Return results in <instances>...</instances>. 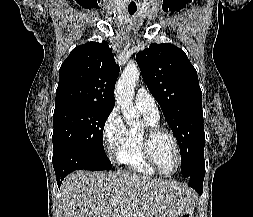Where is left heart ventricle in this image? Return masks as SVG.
Returning <instances> with one entry per match:
<instances>
[{
  "mask_svg": "<svg viewBox=\"0 0 253 217\" xmlns=\"http://www.w3.org/2000/svg\"><path fill=\"white\" fill-rule=\"evenodd\" d=\"M152 151L160 169L165 173L174 171L176 167V151L171 138L165 134H159L153 141Z\"/></svg>",
  "mask_w": 253,
  "mask_h": 217,
  "instance_id": "left-heart-ventricle-1",
  "label": "left heart ventricle"
}]
</instances>
